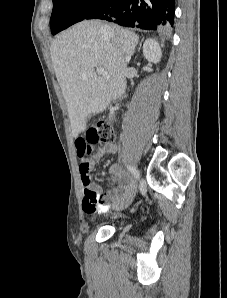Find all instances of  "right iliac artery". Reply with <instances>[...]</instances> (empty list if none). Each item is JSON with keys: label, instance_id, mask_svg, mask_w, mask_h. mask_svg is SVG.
<instances>
[{"label": "right iliac artery", "instance_id": "right-iliac-artery-1", "mask_svg": "<svg viewBox=\"0 0 227 298\" xmlns=\"http://www.w3.org/2000/svg\"><path fill=\"white\" fill-rule=\"evenodd\" d=\"M127 169L132 173V175L136 178V179H139V172L138 170L134 167V166H131V165H127Z\"/></svg>", "mask_w": 227, "mask_h": 298}]
</instances>
